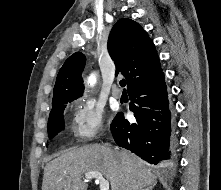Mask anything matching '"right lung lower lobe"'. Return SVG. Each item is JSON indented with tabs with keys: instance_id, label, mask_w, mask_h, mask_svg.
<instances>
[{
	"instance_id": "98d812e1",
	"label": "right lung lower lobe",
	"mask_w": 221,
	"mask_h": 190,
	"mask_svg": "<svg viewBox=\"0 0 221 190\" xmlns=\"http://www.w3.org/2000/svg\"><path fill=\"white\" fill-rule=\"evenodd\" d=\"M128 94L137 122L130 124L118 113L110 126L115 142L151 164L169 165L175 158L176 137L164 73L134 86Z\"/></svg>"
}]
</instances>
